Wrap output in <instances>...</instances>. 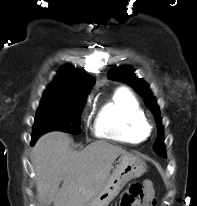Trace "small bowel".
I'll return each mask as SVG.
<instances>
[{"mask_svg":"<svg viewBox=\"0 0 197 206\" xmlns=\"http://www.w3.org/2000/svg\"><path fill=\"white\" fill-rule=\"evenodd\" d=\"M148 188H151L150 185L147 183L146 185ZM150 193H152V189L150 191ZM133 206H143L141 203H137V204H134Z\"/></svg>","mask_w":197,"mask_h":206,"instance_id":"c3829d8e","label":"small bowel"}]
</instances>
